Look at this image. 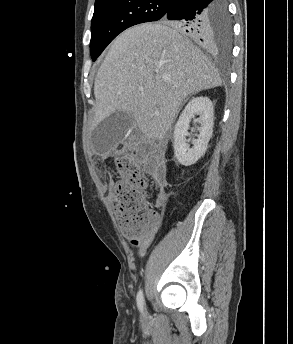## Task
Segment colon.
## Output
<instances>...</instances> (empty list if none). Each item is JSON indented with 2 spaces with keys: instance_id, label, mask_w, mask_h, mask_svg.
Returning a JSON list of instances; mask_svg holds the SVG:
<instances>
[{
  "instance_id": "colon-1",
  "label": "colon",
  "mask_w": 293,
  "mask_h": 344,
  "mask_svg": "<svg viewBox=\"0 0 293 344\" xmlns=\"http://www.w3.org/2000/svg\"><path fill=\"white\" fill-rule=\"evenodd\" d=\"M110 160L122 178L112 189V206L119 228L133 239L154 236L160 212L146 202L144 173L128 154H113Z\"/></svg>"
}]
</instances>
